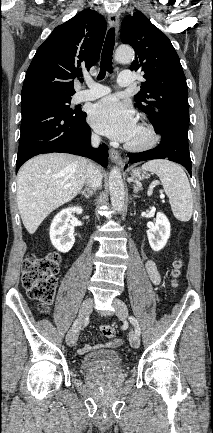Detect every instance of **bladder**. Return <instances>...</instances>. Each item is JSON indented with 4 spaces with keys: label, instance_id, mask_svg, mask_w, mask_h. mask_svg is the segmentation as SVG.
I'll return each mask as SVG.
<instances>
[{
    "label": "bladder",
    "instance_id": "obj_1",
    "mask_svg": "<svg viewBox=\"0 0 213 433\" xmlns=\"http://www.w3.org/2000/svg\"><path fill=\"white\" fill-rule=\"evenodd\" d=\"M122 357L116 350H99L85 355L81 367L86 372H99L119 368Z\"/></svg>",
    "mask_w": 213,
    "mask_h": 433
}]
</instances>
